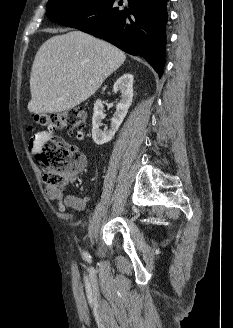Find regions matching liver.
Returning a JSON list of instances; mask_svg holds the SVG:
<instances>
[{"label":"liver","mask_w":233,"mask_h":328,"mask_svg":"<svg viewBox=\"0 0 233 328\" xmlns=\"http://www.w3.org/2000/svg\"><path fill=\"white\" fill-rule=\"evenodd\" d=\"M126 59L123 51L81 31L56 35L38 49L30 74L31 113L68 111L93 95Z\"/></svg>","instance_id":"obj_1"}]
</instances>
